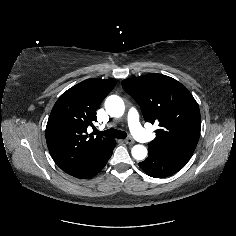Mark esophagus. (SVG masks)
<instances>
[{
  "label": "esophagus",
  "instance_id": "1",
  "mask_svg": "<svg viewBox=\"0 0 236 236\" xmlns=\"http://www.w3.org/2000/svg\"><path fill=\"white\" fill-rule=\"evenodd\" d=\"M126 144L128 145H133L135 143V141L132 138H127L124 140Z\"/></svg>",
  "mask_w": 236,
  "mask_h": 236
}]
</instances>
